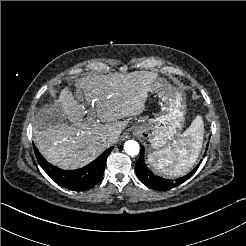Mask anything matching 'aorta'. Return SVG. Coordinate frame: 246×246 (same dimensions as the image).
Wrapping results in <instances>:
<instances>
[{
  "label": "aorta",
  "mask_w": 246,
  "mask_h": 246,
  "mask_svg": "<svg viewBox=\"0 0 246 246\" xmlns=\"http://www.w3.org/2000/svg\"><path fill=\"white\" fill-rule=\"evenodd\" d=\"M124 151L130 156H136L140 152V147L138 142L134 140H129L124 144Z\"/></svg>",
  "instance_id": "obj_1"
}]
</instances>
